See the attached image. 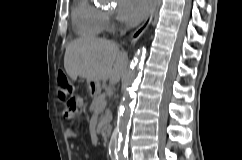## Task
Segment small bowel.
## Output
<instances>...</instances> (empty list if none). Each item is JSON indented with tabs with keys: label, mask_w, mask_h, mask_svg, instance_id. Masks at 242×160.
Masks as SVG:
<instances>
[{
	"label": "small bowel",
	"mask_w": 242,
	"mask_h": 160,
	"mask_svg": "<svg viewBox=\"0 0 242 160\" xmlns=\"http://www.w3.org/2000/svg\"><path fill=\"white\" fill-rule=\"evenodd\" d=\"M76 102L78 103V110H77V113L81 110V100L80 99H76ZM65 116H70L67 112V109H65V112H64ZM70 136H74L73 132H69Z\"/></svg>",
	"instance_id": "c3829d8e"
}]
</instances>
